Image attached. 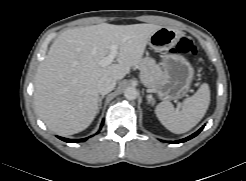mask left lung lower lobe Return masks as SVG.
Instances as JSON below:
<instances>
[{
  "instance_id": "obj_1",
  "label": "left lung lower lobe",
  "mask_w": 246,
  "mask_h": 181,
  "mask_svg": "<svg viewBox=\"0 0 246 181\" xmlns=\"http://www.w3.org/2000/svg\"><path fill=\"white\" fill-rule=\"evenodd\" d=\"M204 128V126L202 128H200L197 132H195L194 134L188 136L187 138H184V139H181V140H177V141H174L173 143L177 144V143H182V142H185L187 140H190L192 138H194L196 135H198L202 129Z\"/></svg>"
}]
</instances>
